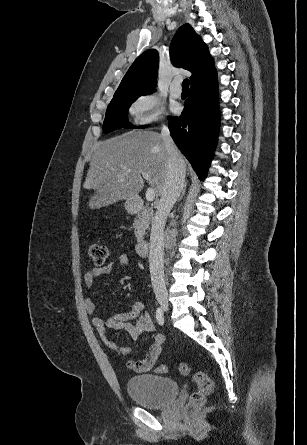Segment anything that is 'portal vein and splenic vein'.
<instances>
[{"mask_svg":"<svg viewBox=\"0 0 307 445\" xmlns=\"http://www.w3.org/2000/svg\"><path fill=\"white\" fill-rule=\"evenodd\" d=\"M143 178H146V180H149L150 178V174H148V172H141ZM145 196H146V200H149V202H152V200H154L155 198V190L154 188H147L146 192H145Z\"/></svg>","mask_w":307,"mask_h":445,"instance_id":"18ae733b","label":"portal vein and splenic vein"}]
</instances>
